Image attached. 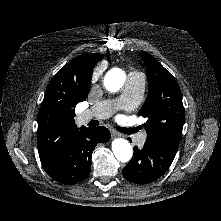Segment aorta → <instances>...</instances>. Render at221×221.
<instances>
[{
    "mask_svg": "<svg viewBox=\"0 0 221 221\" xmlns=\"http://www.w3.org/2000/svg\"><path fill=\"white\" fill-rule=\"evenodd\" d=\"M125 82V74L119 69L110 70L104 78V86L110 92L118 91ZM112 151L120 162H128L133 155V149L130 143L123 139L117 138L112 142Z\"/></svg>",
    "mask_w": 221,
    "mask_h": 221,
    "instance_id": "aorta-1",
    "label": "aorta"
}]
</instances>
